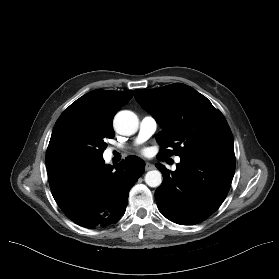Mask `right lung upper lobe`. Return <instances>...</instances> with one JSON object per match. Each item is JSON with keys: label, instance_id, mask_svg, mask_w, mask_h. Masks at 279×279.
Segmentation results:
<instances>
[{"label": "right lung upper lobe", "instance_id": "obj_1", "mask_svg": "<svg viewBox=\"0 0 279 279\" xmlns=\"http://www.w3.org/2000/svg\"><path fill=\"white\" fill-rule=\"evenodd\" d=\"M133 97L132 91L96 90L73 102L59 117L82 118L105 133H113L112 121L118 110Z\"/></svg>", "mask_w": 279, "mask_h": 279}]
</instances>
